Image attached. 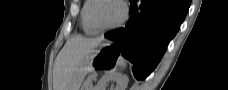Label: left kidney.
<instances>
[{
  "instance_id": "5707ae66",
  "label": "left kidney",
  "mask_w": 228,
  "mask_h": 90,
  "mask_svg": "<svg viewBox=\"0 0 228 90\" xmlns=\"http://www.w3.org/2000/svg\"><path fill=\"white\" fill-rule=\"evenodd\" d=\"M111 81L117 83V87L115 88V90H126L129 78L128 76L122 75L117 72L108 73L99 80L98 84L95 87V90H105L106 84Z\"/></svg>"
}]
</instances>
